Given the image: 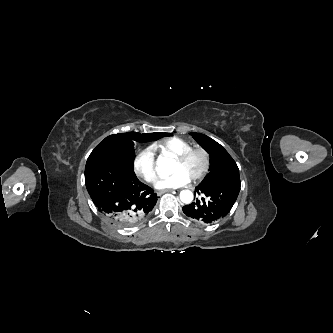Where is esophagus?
Returning a JSON list of instances; mask_svg holds the SVG:
<instances>
[{
    "label": "esophagus",
    "instance_id": "esophagus-1",
    "mask_svg": "<svg viewBox=\"0 0 333 333\" xmlns=\"http://www.w3.org/2000/svg\"><path fill=\"white\" fill-rule=\"evenodd\" d=\"M172 191H173L172 189L161 190V191H158V192H157V195L160 196V195H162V194H164V193L172 192Z\"/></svg>",
    "mask_w": 333,
    "mask_h": 333
}]
</instances>
